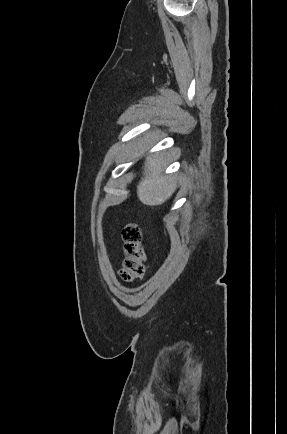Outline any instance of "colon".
I'll return each mask as SVG.
<instances>
[{
    "label": "colon",
    "mask_w": 287,
    "mask_h": 434,
    "mask_svg": "<svg viewBox=\"0 0 287 434\" xmlns=\"http://www.w3.org/2000/svg\"><path fill=\"white\" fill-rule=\"evenodd\" d=\"M122 240L124 258L120 277L125 282H132L145 274L147 262V253L139 225L126 224L122 229Z\"/></svg>",
    "instance_id": "colon-1"
}]
</instances>
